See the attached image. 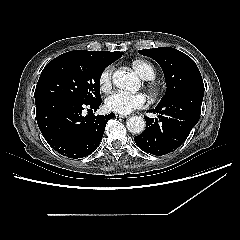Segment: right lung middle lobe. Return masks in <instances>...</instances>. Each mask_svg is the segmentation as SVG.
Listing matches in <instances>:
<instances>
[{
	"label": "right lung middle lobe",
	"mask_w": 240,
	"mask_h": 240,
	"mask_svg": "<svg viewBox=\"0 0 240 240\" xmlns=\"http://www.w3.org/2000/svg\"><path fill=\"white\" fill-rule=\"evenodd\" d=\"M112 62L86 50L58 56L44 67L35 89V101L50 96L69 97L84 104L100 101V78Z\"/></svg>",
	"instance_id": "right-lung-middle-lobe-1"
}]
</instances>
